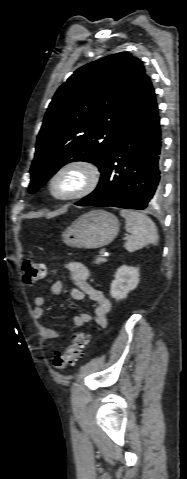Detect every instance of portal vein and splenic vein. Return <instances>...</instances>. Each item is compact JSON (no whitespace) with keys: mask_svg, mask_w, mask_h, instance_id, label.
Wrapping results in <instances>:
<instances>
[{"mask_svg":"<svg viewBox=\"0 0 187 479\" xmlns=\"http://www.w3.org/2000/svg\"><path fill=\"white\" fill-rule=\"evenodd\" d=\"M106 254H107V252H106V250H105V249H102V250L100 251V255H101V257H105V256H106Z\"/></svg>","mask_w":187,"mask_h":479,"instance_id":"1","label":"portal vein and splenic vein"}]
</instances>
